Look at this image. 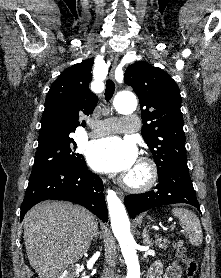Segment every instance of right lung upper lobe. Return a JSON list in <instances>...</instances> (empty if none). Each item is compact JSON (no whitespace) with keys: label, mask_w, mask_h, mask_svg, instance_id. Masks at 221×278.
I'll return each instance as SVG.
<instances>
[{"label":"right lung upper lobe","mask_w":221,"mask_h":278,"mask_svg":"<svg viewBox=\"0 0 221 278\" xmlns=\"http://www.w3.org/2000/svg\"><path fill=\"white\" fill-rule=\"evenodd\" d=\"M93 60L67 68L51 85L45 100L39 141L56 140L74 133L83 114L89 115L97 105L98 98L89 89Z\"/></svg>","instance_id":"cb5924a9"}]
</instances>
